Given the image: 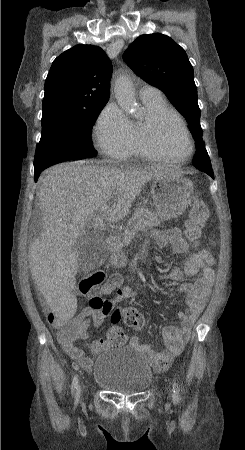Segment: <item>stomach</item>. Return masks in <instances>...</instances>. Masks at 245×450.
<instances>
[{
	"label": "stomach",
	"instance_id": "stomach-1",
	"mask_svg": "<svg viewBox=\"0 0 245 450\" xmlns=\"http://www.w3.org/2000/svg\"><path fill=\"white\" fill-rule=\"evenodd\" d=\"M193 183L180 174H168L152 180L151 194L156 214L162 220H170L182 215L190 202ZM111 261L116 266L126 263L125 255L119 250L112 253Z\"/></svg>",
	"mask_w": 245,
	"mask_h": 450
}]
</instances>
